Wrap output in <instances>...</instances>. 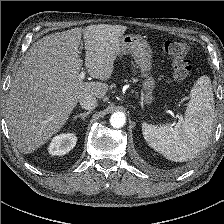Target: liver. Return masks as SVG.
<instances>
[{"label": "liver", "mask_w": 224, "mask_h": 224, "mask_svg": "<svg viewBox=\"0 0 224 224\" xmlns=\"http://www.w3.org/2000/svg\"><path fill=\"white\" fill-rule=\"evenodd\" d=\"M126 30L109 24L74 28L44 36L29 48L10 84L6 108L9 133L21 153H32L58 133L82 98L106 95V83L78 79L82 35L89 75L107 81Z\"/></svg>", "instance_id": "1"}]
</instances>
